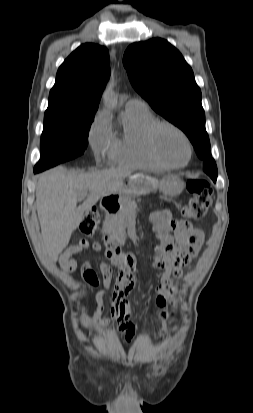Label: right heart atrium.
Returning a JSON list of instances; mask_svg holds the SVG:
<instances>
[{"instance_id": "1", "label": "right heart atrium", "mask_w": 253, "mask_h": 413, "mask_svg": "<svg viewBox=\"0 0 253 413\" xmlns=\"http://www.w3.org/2000/svg\"><path fill=\"white\" fill-rule=\"evenodd\" d=\"M89 143L97 161H100L104 155L109 153L113 143V135L105 113H100L93 122L89 134Z\"/></svg>"}]
</instances>
